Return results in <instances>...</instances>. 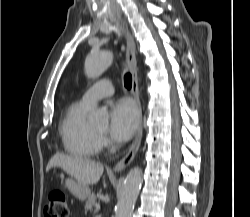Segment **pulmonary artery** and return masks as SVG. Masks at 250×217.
<instances>
[{
	"mask_svg": "<svg viewBox=\"0 0 250 217\" xmlns=\"http://www.w3.org/2000/svg\"><path fill=\"white\" fill-rule=\"evenodd\" d=\"M114 93L113 83L109 79H102L91 85L83 94L81 101L93 106L98 100L109 97Z\"/></svg>",
	"mask_w": 250,
	"mask_h": 217,
	"instance_id": "obj_1",
	"label": "pulmonary artery"
}]
</instances>
